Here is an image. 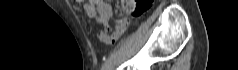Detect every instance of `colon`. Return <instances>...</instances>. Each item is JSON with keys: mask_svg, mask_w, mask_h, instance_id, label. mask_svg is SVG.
Segmentation results:
<instances>
[{"mask_svg": "<svg viewBox=\"0 0 238 70\" xmlns=\"http://www.w3.org/2000/svg\"><path fill=\"white\" fill-rule=\"evenodd\" d=\"M76 1L79 3L83 2V0ZM122 2L124 9L133 17H139L144 14L152 4V0H123ZM85 9L87 13L93 16L97 21L101 22L104 20L102 15L95 10L91 3L85 4Z\"/></svg>", "mask_w": 238, "mask_h": 70, "instance_id": "5ec220e1", "label": "colon"}]
</instances>
